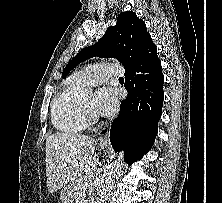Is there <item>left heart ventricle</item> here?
I'll return each instance as SVG.
<instances>
[{"mask_svg":"<svg viewBox=\"0 0 222 203\" xmlns=\"http://www.w3.org/2000/svg\"><path fill=\"white\" fill-rule=\"evenodd\" d=\"M84 102L86 104V106L93 112L95 113L94 111V97L92 95L90 96H87L85 99H84ZM96 114V113H95Z\"/></svg>","mask_w":222,"mask_h":203,"instance_id":"left-heart-ventricle-1","label":"left heart ventricle"}]
</instances>
